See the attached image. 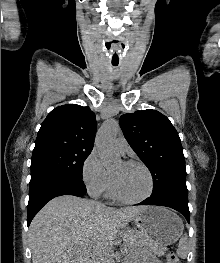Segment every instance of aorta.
<instances>
[{
  "label": "aorta",
  "mask_w": 220,
  "mask_h": 263,
  "mask_svg": "<svg viewBox=\"0 0 220 263\" xmlns=\"http://www.w3.org/2000/svg\"><path fill=\"white\" fill-rule=\"evenodd\" d=\"M118 129L119 125L116 121L108 120L101 126L96 137V148L106 168L112 167L119 161L113 150V142Z\"/></svg>",
  "instance_id": "1"
}]
</instances>
